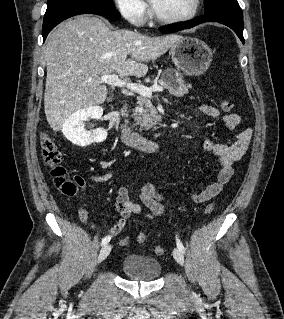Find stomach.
I'll use <instances>...</instances> for the list:
<instances>
[{"mask_svg":"<svg viewBox=\"0 0 284 319\" xmlns=\"http://www.w3.org/2000/svg\"><path fill=\"white\" fill-rule=\"evenodd\" d=\"M170 53L175 65L191 76L203 74L212 61L210 47L195 37H182L174 43Z\"/></svg>","mask_w":284,"mask_h":319,"instance_id":"obj_1","label":"stomach"}]
</instances>
